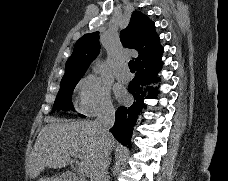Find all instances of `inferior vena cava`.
<instances>
[{
    "instance_id": "inferior-vena-cava-1",
    "label": "inferior vena cava",
    "mask_w": 228,
    "mask_h": 181,
    "mask_svg": "<svg viewBox=\"0 0 228 181\" xmlns=\"http://www.w3.org/2000/svg\"><path fill=\"white\" fill-rule=\"evenodd\" d=\"M115 123V109L112 105H105L98 113V117L94 123L96 133L100 135L102 141L101 147L94 153L90 167L91 181H106L108 159L111 151L110 145H107V137L111 135L109 129Z\"/></svg>"
}]
</instances>
